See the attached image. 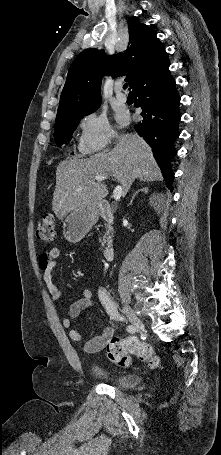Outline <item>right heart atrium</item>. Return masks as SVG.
<instances>
[{"instance_id":"1","label":"right heart atrium","mask_w":221,"mask_h":455,"mask_svg":"<svg viewBox=\"0 0 221 455\" xmlns=\"http://www.w3.org/2000/svg\"><path fill=\"white\" fill-rule=\"evenodd\" d=\"M78 127V149L83 154L104 152L115 137L107 116L101 112L85 114Z\"/></svg>"}]
</instances>
